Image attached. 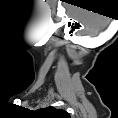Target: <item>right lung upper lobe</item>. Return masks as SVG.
I'll return each instance as SVG.
<instances>
[{"mask_svg": "<svg viewBox=\"0 0 118 118\" xmlns=\"http://www.w3.org/2000/svg\"><path fill=\"white\" fill-rule=\"evenodd\" d=\"M47 111H49V112H64L63 110H58V109H55V108H53V107H49V108H47Z\"/></svg>", "mask_w": 118, "mask_h": 118, "instance_id": "1", "label": "right lung upper lobe"}]
</instances>
